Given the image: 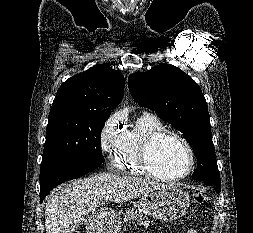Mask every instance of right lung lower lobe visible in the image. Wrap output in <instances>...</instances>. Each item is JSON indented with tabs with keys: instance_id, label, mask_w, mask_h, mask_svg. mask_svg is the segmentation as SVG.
<instances>
[{
	"instance_id": "1",
	"label": "right lung lower lobe",
	"mask_w": 253,
	"mask_h": 233,
	"mask_svg": "<svg viewBox=\"0 0 253 233\" xmlns=\"http://www.w3.org/2000/svg\"><path fill=\"white\" fill-rule=\"evenodd\" d=\"M100 165L98 163L59 161L42 167L40 171V202L54 187L65 181L79 178Z\"/></svg>"
}]
</instances>
